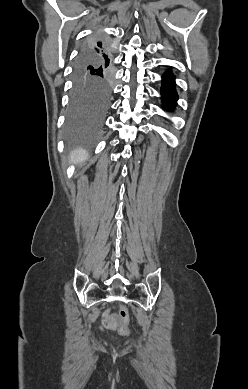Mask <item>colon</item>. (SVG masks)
Returning <instances> with one entry per match:
<instances>
[{"mask_svg":"<svg viewBox=\"0 0 248 389\" xmlns=\"http://www.w3.org/2000/svg\"><path fill=\"white\" fill-rule=\"evenodd\" d=\"M118 317H119V322L118 324L116 325L115 322H111L110 323V326L111 327H118V330L119 332L123 335V336H130L131 335V331L128 327V323H129V312H128V309L125 305L123 304H120L118 306Z\"/></svg>","mask_w":248,"mask_h":389,"instance_id":"obj_1","label":"colon"}]
</instances>
